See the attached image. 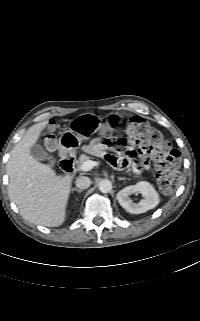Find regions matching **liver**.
Instances as JSON below:
<instances>
[{
    "mask_svg": "<svg viewBox=\"0 0 200 321\" xmlns=\"http://www.w3.org/2000/svg\"><path fill=\"white\" fill-rule=\"evenodd\" d=\"M47 125L46 121L31 126L11 151L6 166L8 195L25 220L58 227L66 217L72 177L56 175L55 170L30 154Z\"/></svg>",
    "mask_w": 200,
    "mask_h": 321,
    "instance_id": "6515ba94",
    "label": "liver"
}]
</instances>
